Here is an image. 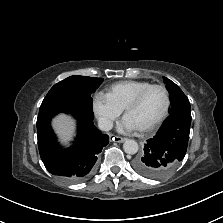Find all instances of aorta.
Wrapping results in <instances>:
<instances>
[{"label": "aorta", "instance_id": "aorta-1", "mask_svg": "<svg viewBox=\"0 0 223 223\" xmlns=\"http://www.w3.org/2000/svg\"><path fill=\"white\" fill-rule=\"evenodd\" d=\"M123 149L127 154H136L138 152V143L133 139H126L123 144Z\"/></svg>", "mask_w": 223, "mask_h": 223}]
</instances>
